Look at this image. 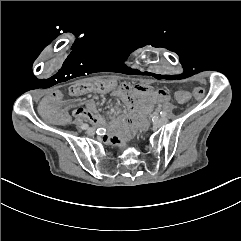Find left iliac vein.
I'll return each instance as SVG.
<instances>
[{
	"label": "left iliac vein",
	"instance_id": "4c4485c4",
	"mask_svg": "<svg viewBox=\"0 0 241 241\" xmlns=\"http://www.w3.org/2000/svg\"><path fill=\"white\" fill-rule=\"evenodd\" d=\"M167 122H168V119L166 117H162V118L155 119L154 124L159 127L167 124Z\"/></svg>",
	"mask_w": 241,
	"mask_h": 241
}]
</instances>
